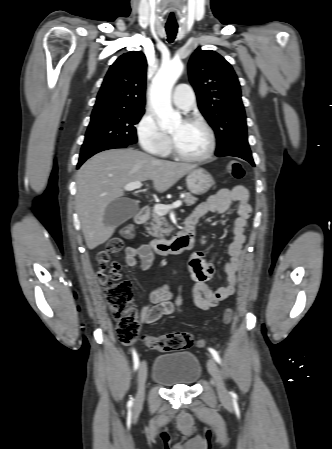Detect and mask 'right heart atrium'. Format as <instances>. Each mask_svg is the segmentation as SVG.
Returning a JSON list of instances; mask_svg holds the SVG:
<instances>
[{"mask_svg":"<svg viewBox=\"0 0 332 449\" xmlns=\"http://www.w3.org/2000/svg\"><path fill=\"white\" fill-rule=\"evenodd\" d=\"M137 134L141 146L154 155H165L170 149V138L161 130L156 118L145 113L137 124Z\"/></svg>","mask_w":332,"mask_h":449,"instance_id":"obj_1","label":"right heart atrium"}]
</instances>
